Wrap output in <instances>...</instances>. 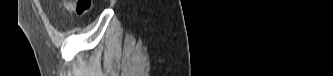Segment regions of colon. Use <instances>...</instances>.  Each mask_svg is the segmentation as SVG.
Segmentation results:
<instances>
[{
  "label": "colon",
  "instance_id": "1",
  "mask_svg": "<svg viewBox=\"0 0 333 76\" xmlns=\"http://www.w3.org/2000/svg\"><path fill=\"white\" fill-rule=\"evenodd\" d=\"M62 5L70 10L74 11L78 15H83L87 13L92 7V0H73V1H63Z\"/></svg>",
  "mask_w": 333,
  "mask_h": 76
}]
</instances>
